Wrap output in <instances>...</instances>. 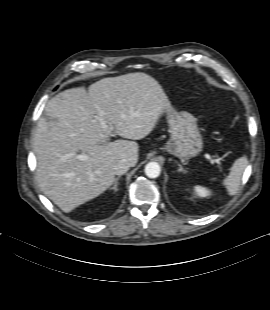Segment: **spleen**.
Returning a JSON list of instances; mask_svg holds the SVG:
<instances>
[{
	"mask_svg": "<svg viewBox=\"0 0 270 310\" xmlns=\"http://www.w3.org/2000/svg\"><path fill=\"white\" fill-rule=\"evenodd\" d=\"M248 164L246 156L240 157L233 163L229 175L224 180V185L229 195H235L239 190L243 172Z\"/></svg>",
	"mask_w": 270,
	"mask_h": 310,
	"instance_id": "3e777b00",
	"label": "spleen"
}]
</instances>
